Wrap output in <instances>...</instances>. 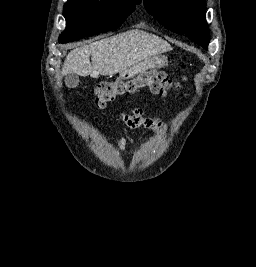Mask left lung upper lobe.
<instances>
[{
  "instance_id": "left-lung-upper-lobe-1",
  "label": "left lung upper lobe",
  "mask_w": 256,
  "mask_h": 267,
  "mask_svg": "<svg viewBox=\"0 0 256 267\" xmlns=\"http://www.w3.org/2000/svg\"><path fill=\"white\" fill-rule=\"evenodd\" d=\"M146 10L162 24L208 48L205 0H144Z\"/></svg>"
}]
</instances>
